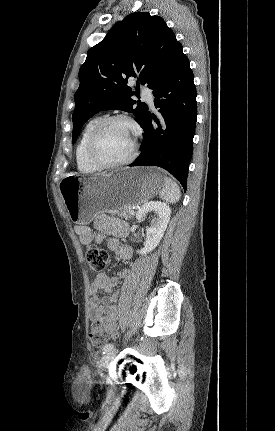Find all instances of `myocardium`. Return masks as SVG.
I'll return each instance as SVG.
<instances>
[{"label":"myocardium","instance_id":"myocardium-1","mask_svg":"<svg viewBox=\"0 0 275 431\" xmlns=\"http://www.w3.org/2000/svg\"><path fill=\"white\" fill-rule=\"evenodd\" d=\"M115 122H123L129 125L133 131L134 140H133L132 151L126 159L120 162L110 163V162L101 160L97 156L96 148H97L98 141L101 135L103 134V132L105 131V129L109 125ZM138 147H139V132L137 130L135 123L126 116L114 115V116H110L102 119L93 129L87 141L86 154H87L88 160L99 169H117V168H121L129 165L135 160L138 153Z\"/></svg>","mask_w":275,"mask_h":431}]
</instances>
